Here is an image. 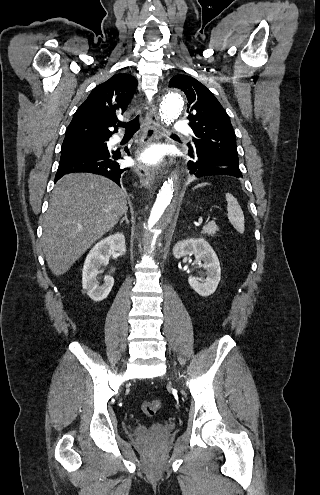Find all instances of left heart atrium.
I'll return each mask as SVG.
<instances>
[{
    "label": "left heart atrium",
    "mask_w": 320,
    "mask_h": 495,
    "mask_svg": "<svg viewBox=\"0 0 320 495\" xmlns=\"http://www.w3.org/2000/svg\"><path fill=\"white\" fill-rule=\"evenodd\" d=\"M160 159H161V151L157 147H151L145 149L138 156L139 161L149 165L157 164L160 161Z\"/></svg>",
    "instance_id": "1"
}]
</instances>
